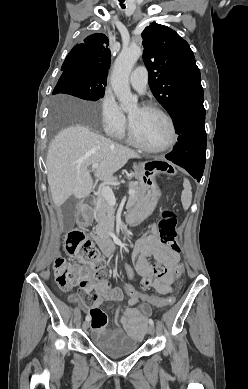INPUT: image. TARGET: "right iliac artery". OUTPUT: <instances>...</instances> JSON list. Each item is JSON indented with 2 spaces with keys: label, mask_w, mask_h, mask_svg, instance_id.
I'll return each instance as SVG.
<instances>
[{
  "label": "right iliac artery",
  "mask_w": 248,
  "mask_h": 389,
  "mask_svg": "<svg viewBox=\"0 0 248 389\" xmlns=\"http://www.w3.org/2000/svg\"><path fill=\"white\" fill-rule=\"evenodd\" d=\"M86 321H90V317L89 316H86Z\"/></svg>",
  "instance_id": "obj_1"
}]
</instances>
